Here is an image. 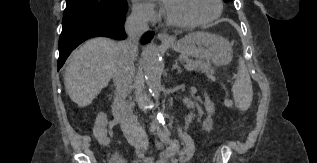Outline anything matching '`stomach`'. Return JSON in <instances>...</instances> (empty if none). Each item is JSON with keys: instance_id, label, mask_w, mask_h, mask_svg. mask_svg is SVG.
Here are the masks:
<instances>
[{"instance_id": "0dacf381", "label": "stomach", "mask_w": 317, "mask_h": 163, "mask_svg": "<svg viewBox=\"0 0 317 163\" xmlns=\"http://www.w3.org/2000/svg\"><path fill=\"white\" fill-rule=\"evenodd\" d=\"M173 50L218 65L228 64L232 59V46L221 36L207 32H193L174 43H165Z\"/></svg>"}]
</instances>
